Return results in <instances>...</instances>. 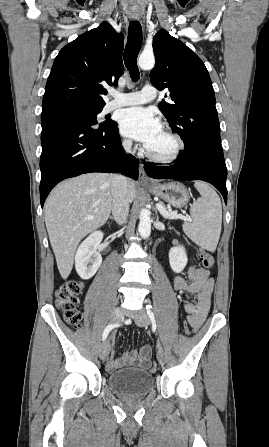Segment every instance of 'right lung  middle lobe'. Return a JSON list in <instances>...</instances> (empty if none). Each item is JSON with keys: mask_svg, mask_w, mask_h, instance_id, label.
Segmentation results:
<instances>
[{"mask_svg": "<svg viewBox=\"0 0 269 447\" xmlns=\"http://www.w3.org/2000/svg\"><path fill=\"white\" fill-rule=\"evenodd\" d=\"M104 105L80 104L59 108L58 110H70L78 115L84 122L95 125L98 123L97 115L101 112ZM117 126L114 121H105L100 124V128H112Z\"/></svg>", "mask_w": 269, "mask_h": 447, "instance_id": "dd1d6c3e", "label": "right lung middle lobe"}]
</instances>
